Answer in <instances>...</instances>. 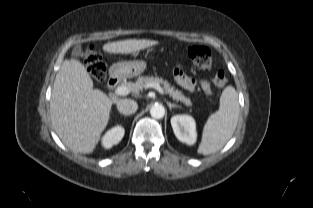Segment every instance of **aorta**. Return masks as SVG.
<instances>
[{
    "mask_svg": "<svg viewBox=\"0 0 313 208\" xmlns=\"http://www.w3.org/2000/svg\"><path fill=\"white\" fill-rule=\"evenodd\" d=\"M150 115L155 119H161L165 115V108L161 104H154L150 109Z\"/></svg>",
    "mask_w": 313,
    "mask_h": 208,
    "instance_id": "762f6f07",
    "label": "aorta"
}]
</instances>
